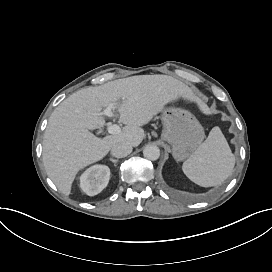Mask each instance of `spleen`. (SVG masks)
<instances>
[{
    "instance_id": "3e777b00",
    "label": "spleen",
    "mask_w": 272,
    "mask_h": 272,
    "mask_svg": "<svg viewBox=\"0 0 272 272\" xmlns=\"http://www.w3.org/2000/svg\"><path fill=\"white\" fill-rule=\"evenodd\" d=\"M234 166L235 156L221 129L216 126L183 163L182 170L195 184L212 187L222 184L232 174Z\"/></svg>"
}]
</instances>
